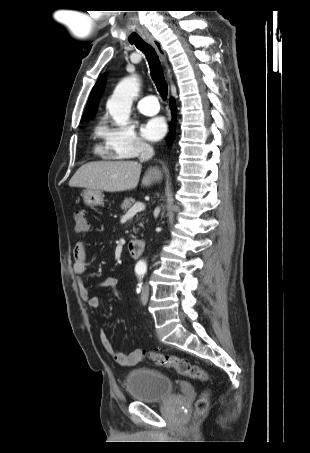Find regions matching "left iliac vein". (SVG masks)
<instances>
[{
    "instance_id": "1",
    "label": "left iliac vein",
    "mask_w": 310,
    "mask_h": 453,
    "mask_svg": "<svg viewBox=\"0 0 310 453\" xmlns=\"http://www.w3.org/2000/svg\"><path fill=\"white\" fill-rule=\"evenodd\" d=\"M148 298H149V287L145 286L141 293V302L143 305H145L148 302Z\"/></svg>"
}]
</instances>
